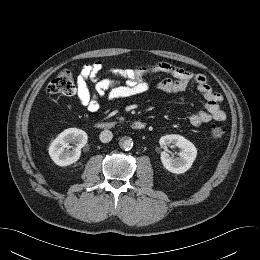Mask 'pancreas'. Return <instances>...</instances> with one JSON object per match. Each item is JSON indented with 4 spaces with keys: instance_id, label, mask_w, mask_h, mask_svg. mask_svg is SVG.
<instances>
[{
    "instance_id": "cf45deb5",
    "label": "pancreas",
    "mask_w": 260,
    "mask_h": 260,
    "mask_svg": "<svg viewBox=\"0 0 260 260\" xmlns=\"http://www.w3.org/2000/svg\"><path fill=\"white\" fill-rule=\"evenodd\" d=\"M118 119H119L120 121H123L125 118H124V117H118Z\"/></svg>"
}]
</instances>
